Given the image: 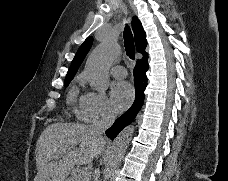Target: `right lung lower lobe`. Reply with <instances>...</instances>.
I'll use <instances>...</instances> for the list:
<instances>
[{"mask_svg":"<svg viewBox=\"0 0 228 181\" xmlns=\"http://www.w3.org/2000/svg\"><path fill=\"white\" fill-rule=\"evenodd\" d=\"M148 55L143 56L142 59L137 60L136 66L134 68V83L136 97L133 105L128 111H126L122 116H120L114 124L106 131L109 138L113 139L117 134L128 124H130L139 110L141 109L144 101V90L147 85L146 72L148 70Z\"/></svg>","mask_w":228,"mask_h":181,"instance_id":"1","label":"right lung lower lobe"}]
</instances>
